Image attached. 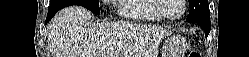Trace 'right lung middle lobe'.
Returning <instances> with one entry per match:
<instances>
[{
	"instance_id": "right-lung-middle-lobe-1",
	"label": "right lung middle lobe",
	"mask_w": 249,
	"mask_h": 57,
	"mask_svg": "<svg viewBox=\"0 0 249 57\" xmlns=\"http://www.w3.org/2000/svg\"><path fill=\"white\" fill-rule=\"evenodd\" d=\"M70 5H80L95 14H100L99 0H50L49 8L62 9Z\"/></svg>"
}]
</instances>
